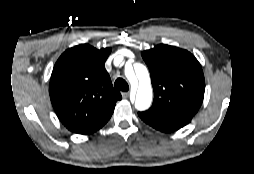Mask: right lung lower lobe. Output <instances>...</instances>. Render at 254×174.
I'll return each mask as SVG.
<instances>
[{"instance_id": "obj_1", "label": "right lung lower lobe", "mask_w": 254, "mask_h": 174, "mask_svg": "<svg viewBox=\"0 0 254 174\" xmlns=\"http://www.w3.org/2000/svg\"><path fill=\"white\" fill-rule=\"evenodd\" d=\"M111 117V116H110ZM110 117H108L106 120H104L103 122H101L100 124L81 132L80 134H91L93 132H96L97 130H99L102 126H104L106 124V122L110 119Z\"/></svg>"}]
</instances>
